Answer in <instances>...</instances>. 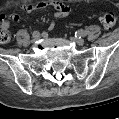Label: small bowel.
Segmentation results:
<instances>
[{"instance_id":"obj_1","label":"small bowel","mask_w":119,"mask_h":119,"mask_svg":"<svg viewBox=\"0 0 119 119\" xmlns=\"http://www.w3.org/2000/svg\"><path fill=\"white\" fill-rule=\"evenodd\" d=\"M48 7H51L54 10V18L56 19L67 17L71 13L70 7L61 1H40L36 3H26L22 5V10L26 13H32ZM10 19L13 22H19L21 18L18 14H12L10 15ZM1 26L4 29H9L10 27V22L4 16L1 17ZM53 28L54 22H52L49 26L50 30Z\"/></svg>"}]
</instances>
